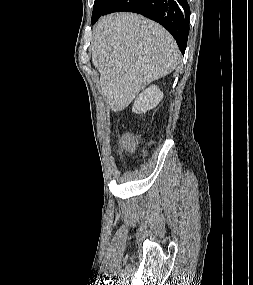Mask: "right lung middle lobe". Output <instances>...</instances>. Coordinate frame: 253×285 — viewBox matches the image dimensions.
<instances>
[{"mask_svg":"<svg viewBox=\"0 0 253 285\" xmlns=\"http://www.w3.org/2000/svg\"><path fill=\"white\" fill-rule=\"evenodd\" d=\"M113 0H95L93 13H92V20L99 17L110 5Z\"/></svg>","mask_w":253,"mask_h":285,"instance_id":"right-lung-middle-lobe-1","label":"right lung middle lobe"}]
</instances>
